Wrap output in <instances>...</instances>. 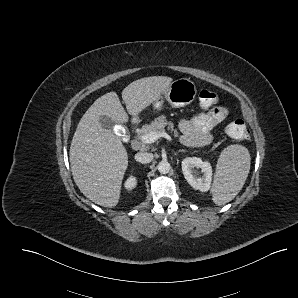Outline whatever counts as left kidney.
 <instances>
[{"mask_svg":"<svg viewBox=\"0 0 298 298\" xmlns=\"http://www.w3.org/2000/svg\"><path fill=\"white\" fill-rule=\"evenodd\" d=\"M182 173L188 184L201 192L209 191L212 181V166L210 162L199 157H186L181 162ZM194 168H200L202 176H197Z\"/></svg>","mask_w":298,"mask_h":298,"instance_id":"left-kidney-1","label":"left kidney"}]
</instances>
